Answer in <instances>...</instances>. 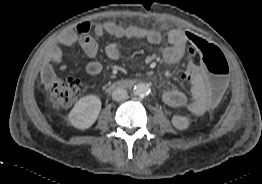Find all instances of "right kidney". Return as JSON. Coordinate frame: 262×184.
Wrapping results in <instances>:
<instances>
[{
  "mask_svg": "<svg viewBox=\"0 0 262 184\" xmlns=\"http://www.w3.org/2000/svg\"><path fill=\"white\" fill-rule=\"evenodd\" d=\"M101 110V100L95 95L81 98L69 113L70 123L78 129H88L96 121Z\"/></svg>",
  "mask_w": 262,
  "mask_h": 184,
  "instance_id": "right-kidney-1",
  "label": "right kidney"
}]
</instances>
